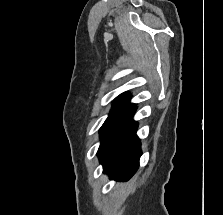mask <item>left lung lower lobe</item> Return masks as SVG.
Wrapping results in <instances>:
<instances>
[{"mask_svg":"<svg viewBox=\"0 0 223 215\" xmlns=\"http://www.w3.org/2000/svg\"><path fill=\"white\" fill-rule=\"evenodd\" d=\"M135 110L136 106L111 130L97 152L103 172L116 181L129 180L139 167L142 152L132 119Z\"/></svg>","mask_w":223,"mask_h":215,"instance_id":"0a47b994","label":"left lung lower lobe"}]
</instances>
